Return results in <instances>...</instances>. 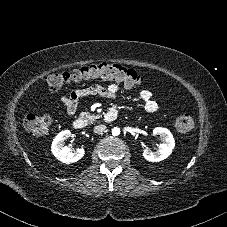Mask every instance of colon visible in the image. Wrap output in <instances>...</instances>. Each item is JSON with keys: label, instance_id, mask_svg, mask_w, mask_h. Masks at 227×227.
Segmentation results:
<instances>
[{"label": "colon", "instance_id": "5ec220e1", "mask_svg": "<svg viewBox=\"0 0 227 227\" xmlns=\"http://www.w3.org/2000/svg\"><path fill=\"white\" fill-rule=\"evenodd\" d=\"M98 78L117 80L127 87L138 86L145 81L142 76L132 69L116 63H99L72 71L50 74L46 77V85L51 90H58L71 84ZM51 121V117L46 115L28 114L24 118V125L30 133L40 135L49 129ZM193 124L194 121L191 115L182 113L175 119L174 128L177 132L185 133L192 129Z\"/></svg>", "mask_w": 227, "mask_h": 227}]
</instances>
